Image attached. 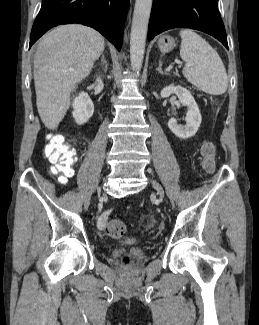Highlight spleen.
<instances>
[{
    "mask_svg": "<svg viewBox=\"0 0 259 325\" xmlns=\"http://www.w3.org/2000/svg\"><path fill=\"white\" fill-rule=\"evenodd\" d=\"M180 56L186 63L184 77L195 87L211 95H221L228 87V77L217 51L191 29L180 31Z\"/></svg>",
    "mask_w": 259,
    "mask_h": 325,
    "instance_id": "spleen-1",
    "label": "spleen"
}]
</instances>
